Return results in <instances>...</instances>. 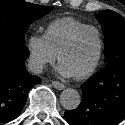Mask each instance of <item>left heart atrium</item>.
Segmentation results:
<instances>
[{
    "label": "left heart atrium",
    "mask_w": 125,
    "mask_h": 125,
    "mask_svg": "<svg viewBox=\"0 0 125 125\" xmlns=\"http://www.w3.org/2000/svg\"><path fill=\"white\" fill-rule=\"evenodd\" d=\"M58 72L60 75L64 77L72 76V74L67 70V68L62 63H60L58 66Z\"/></svg>",
    "instance_id": "obj_1"
}]
</instances>
